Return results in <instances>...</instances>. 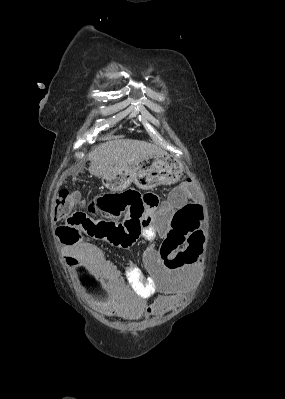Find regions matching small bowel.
I'll use <instances>...</instances> for the list:
<instances>
[{"label":"small bowel","mask_w":285,"mask_h":399,"mask_svg":"<svg viewBox=\"0 0 285 399\" xmlns=\"http://www.w3.org/2000/svg\"><path fill=\"white\" fill-rule=\"evenodd\" d=\"M186 201L187 196L181 195L173 206L167 205L163 210L170 212L183 206ZM158 207L159 204L147 207V214L152 217ZM85 210L86 217L92 221L93 226L84 229L89 235L98 238L116 224L111 219L119 214L116 208H102L96 200L86 203ZM193 222L194 219H190L183 223L166 225V219H158L144 230L143 238L146 241L152 242L156 234H163L167 237L168 246H181L184 257L188 258L180 267L166 268L157 249H146L143 253V266L150 274L147 280L136 266H130L123 275L89 242L64 247V256L79 288L90 303L105 315L128 320L160 315L180 306L193 288L197 275L196 250L200 234L198 229L192 228ZM64 223L60 226H65ZM62 235L70 236L66 230L62 231ZM84 267L90 270L91 279L104 285L107 295L92 286L89 278L82 272ZM151 297L153 300L149 301Z\"/></svg>","instance_id":"c3829d8e"}]
</instances>
